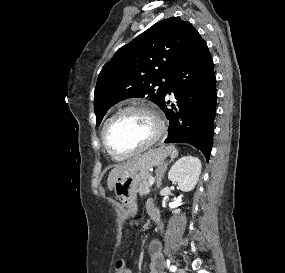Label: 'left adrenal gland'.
I'll list each match as a JSON object with an SVG mask.
<instances>
[{
	"mask_svg": "<svg viewBox=\"0 0 285 273\" xmlns=\"http://www.w3.org/2000/svg\"><path fill=\"white\" fill-rule=\"evenodd\" d=\"M171 161L172 160L166 162L165 164H163L160 167H158V169L156 170L157 188H160L163 175L165 174V172L167 170V166H168L169 163H171Z\"/></svg>",
	"mask_w": 285,
	"mask_h": 273,
	"instance_id": "1",
	"label": "left adrenal gland"
}]
</instances>
